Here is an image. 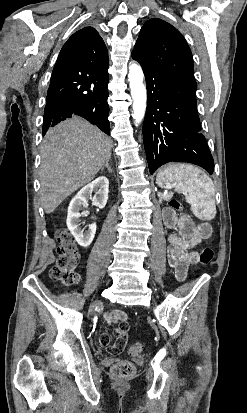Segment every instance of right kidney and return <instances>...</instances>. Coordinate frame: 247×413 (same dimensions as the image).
Returning <instances> with one entry per match:
<instances>
[{"mask_svg": "<svg viewBox=\"0 0 247 413\" xmlns=\"http://www.w3.org/2000/svg\"><path fill=\"white\" fill-rule=\"evenodd\" d=\"M108 188V178H106V176H98V178H95V180L83 186V188L73 196L72 200H70L66 223L69 231H71L73 237H75V241H77L80 247H89V245H91L96 233V223L88 225V231L84 233V229L80 227L81 213H79V211H81L83 207H87L89 198H91L92 204H96V207L104 209L108 200ZM93 190L97 192L96 196H92Z\"/></svg>", "mask_w": 247, "mask_h": 413, "instance_id": "ca27d5eb", "label": "right kidney"}]
</instances>
